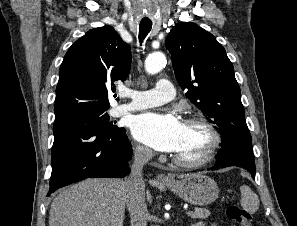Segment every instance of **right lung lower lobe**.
<instances>
[{
    "mask_svg": "<svg viewBox=\"0 0 297 226\" xmlns=\"http://www.w3.org/2000/svg\"><path fill=\"white\" fill-rule=\"evenodd\" d=\"M52 173L47 196L86 178H120L129 173L132 147L125 130L107 132L80 119L53 125Z\"/></svg>",
    "mask_w": 297,
    "mask_h": 226,
    "instance_id": "1",
    "label": "right lung lower lobe"
}]
</instances>
